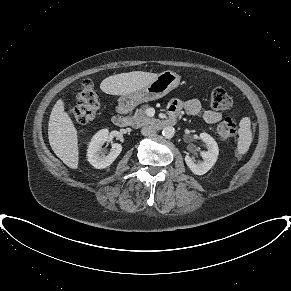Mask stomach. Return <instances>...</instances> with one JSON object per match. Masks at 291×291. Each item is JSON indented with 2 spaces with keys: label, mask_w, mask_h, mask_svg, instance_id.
<instances>
[{
  "label": "stomach",
  "mask_w": 291,
  "mask_h": 291,
  "mask_svg": "<svg viewBox=\"0 0 291 291\" xmlns=\"http://www.w3.org/2000/svg\"><path fill=\"white\" fill-rule=\"evenodd\" d=\"M181 77L170 70L160 73L146 87L132 93L123 94L118 99V105L123 110H132L143 102L156 100L178 87Z\"/></svg>",
  "instance_id": "stomach-1"
}]
</instances>
